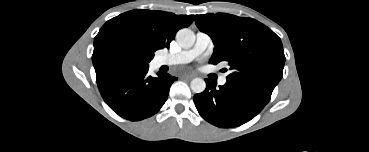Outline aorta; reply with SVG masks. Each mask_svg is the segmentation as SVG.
Wrapping results in <instances>:
<instances>
[{"label":"aorta","instance_id":"obj_1","mask_svg":"<svg viewBox=\"0 0 369 152\" xmlns=\"http://www.w3.org/2000/svg\"><path fill=\"white\" fill-rule=\"evenodd\" d=\"M178 44L185 48H191L195 43V34L188 28L180 29L176 34ZM191 90L194 93H202L206 88V83L202 78H194L190 83Z\"/></svg>","mask_w":369,"mask_h":152}]
</instances>
